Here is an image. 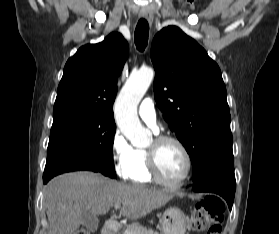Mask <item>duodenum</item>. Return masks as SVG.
<instances>
[{
	"instance_id": "obj_1",
	"label": "duodenum",
	"mask_w": 279,
	"mask_h": 234,
	"mask_svg": "<svg viewBox=\"0 0 279 234\" xmlns=\"http://www.w3.org/2000/svg\"><path fill=\"white\" fill-rule=\"evenodd\" d=\"M119 228L118 224L114 220H108L104 224L101 234H117Z\"/></svg>"
}]
</instances>
